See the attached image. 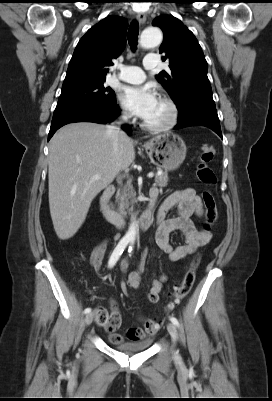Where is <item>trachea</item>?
Here are the masks:
<instances>
[{
    "label": "trachea",
    "mask_w": 272,
    "mask_h": 401,
    "mask_svg": "<svg viewBox=\"0 0 272 401\" xmlns=\"http://www.w3.org/2000/svg\"><path fill=\"white\" fill-rule=\"evenodd\" d=\"M139 34V26L137 21H133L128 30V42L132 50H136Z\"/></svg>",
    "instance_id": "trachea-1"
}]
</instances>
